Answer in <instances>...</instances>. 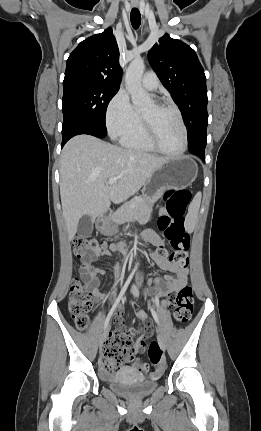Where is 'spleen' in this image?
Segmentation results:
<instances>
[{
  "mask_svg": "<svg viewBox=\"0 0 261 431\" xmlns=\"http://www.w3.org/2000/svg\"><path fill=\"white\" fill-rule=\"evenodd\" d=\"M200 202H201V194H200V193H198V194L194 197V199H193V201H192V203H191V206H190V212H192V213H198V210H199V208H200Z\"/></svg>",
  "mask_w": 261,
  "mask_h": 431,
  "instance_id": "3e777b00",
  "label": "spleen"
}]
</instances>
